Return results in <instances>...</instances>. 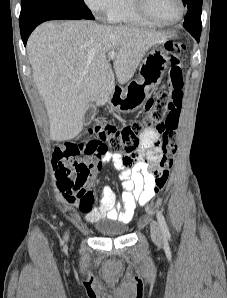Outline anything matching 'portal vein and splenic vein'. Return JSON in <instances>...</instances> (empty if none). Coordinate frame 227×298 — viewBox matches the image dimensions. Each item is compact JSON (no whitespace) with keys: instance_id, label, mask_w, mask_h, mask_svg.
I'll list each match as a JSON object with an SVG mask.
<instances>
[{"instance_id":"portal-vein-and-splenic-vein-1","label":"portal vein and splenic vein","mask_w":227,"mask_h":298,"mask_svg":"<svg viewBox=\"0 0 227 298\" xmlns=\"http://www.w3.org/2000/svg\"><path fill=\"white\" fill-rule=\"evenodd\" d=\"M116 53L114 51H110L108 53V60H114Z\"/></svg>"}]
</instances>
